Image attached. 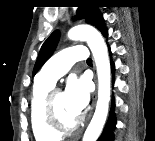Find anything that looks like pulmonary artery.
Masks as SVG:
<instances>
[{
    "instance_id": "1",
    "label": "pulmonary artery",
    "mask_w": 155,
    "mask_h": 141,
    "mask_svg": "<svg viewBox=\"0 0 155 141\" xmlns=\"http://www.w3.org/2000/svg\"><path fill=\"white\" fill-rule=\"evenodd\" d=\"M87 56L88 52L84 46L67 47L50 59L38 74L37 80L55 84L57 79L63 76L75 62L83 61Z\"/></svg>"
}]
</instances>
